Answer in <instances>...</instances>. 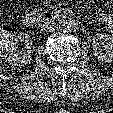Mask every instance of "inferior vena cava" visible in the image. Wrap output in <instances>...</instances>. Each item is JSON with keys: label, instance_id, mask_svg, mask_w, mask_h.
<instances>
[{"label": "inferior vena cava", "instance_id": "obj_1", "mask_svg": "<svg viewBox=\"0 0 113 113\" xmlns=\"http://www.w3.org/2000/svg\"><path fill=\"white\" fill-rule=\"evenodd\" d=\"M41 27V32H52L55 28H56V23L51 21V20H48L46 21L45 23L41 24L40 25Z\"/></svg>", "mask_w": 113, "mask_h": 113}]
</instances>
